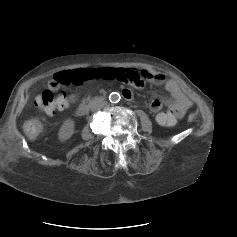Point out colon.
Listing matches in <instances>:
<instances>
[{
    "mask_svg": "<svg viewBox=\"0 0 237 237\" xmlns=\"http://www.w3.org/2000/svg\"><path fill=\"white\" fill-rule=\"evenodd\" d=\"M97 80H114L134 87H141L144 83V73L142 70L124 68L62 71L54 75L48 90L41 95L39 107L45 114L52 115L56 110L66 108V96L61 93L63 86H80L87 81ZM156 122L161 126L170 127L175 124L176 119L168 112H159L156 115ZM43 128V120L41 118L29 119L23 125L25 134L31 139L37 138L43 132Z\"/></svg>",
    "mask_w": 237,
    "mask_h": 237,
    "instance_id": "obj_1",
    "label": "colon"
}]
</instances>
